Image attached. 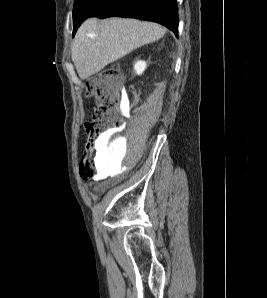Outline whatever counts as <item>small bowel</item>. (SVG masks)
<instances>
[{
	"instance_id": "1",
	"label": "small bowel",
	"mask_w": 267,
	"mask_h": 298,
	"mask_svg": "<svg viewBox=\"0 0 267 298\" xmlns=\"http://www.w3.org/2000/svg\"><path fill=\"white\" fill-rule=\"evenodd\" d=\"M118 134H119L118 131L113 130V131L108 132V133L105 135V138H106V140L111 141V140L115 139V138L117 137Z\"/></svg>"
}]
</instances>
